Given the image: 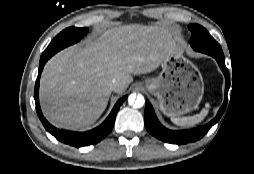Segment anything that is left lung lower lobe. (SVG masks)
Wrapping results in <instances>:
<instances>
[{"instance_id": "1", "label": "left lung lower lobe", "mask_w": 254, "mask_h": 174, "mask_svg": "<svg viewBox=\"0 0 254 174\" xmlns=\"http://www.w3.org/2000/svg\"><path fill=\"white\" fill-rule=\"evenodd\" d=\"M213 57L217 60L226 79L225 101L220 110L218 111L217 116L204 126L191 130L173 131L165 128L163 125L160 124L155 115L151 103L147 100L144 113V122L147 131L151 135L167 143L182 145L201 139L209 131V129L220 119L226 108L227 93L230 87V79H229V71L225 66L224 55L223 56L213 55Z\"/></svg>"}]
</instances>
